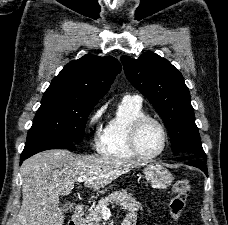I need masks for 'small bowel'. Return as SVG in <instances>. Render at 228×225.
<instances>
[{
  "mask_svg": "<svg viewBox=\"0 0 228 225\" xmlns=\"http://www.w3.org/2000/svg\"><path fill=\"white\" fill-rule=\"evenodd\" d=\"M129 216H131V217H133V218L135 219V215H134L133 213H129V214L127 215V217H129Z\"/></svg>",
  "mask_w": 228,
  "mask_h": 225,
  "instance_id": "c3829d8e",
  "label": "small bowel"
}]
</instances>
